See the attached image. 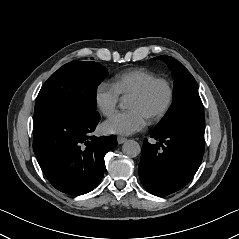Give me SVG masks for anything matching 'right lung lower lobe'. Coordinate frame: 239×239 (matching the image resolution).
<instances>
[{
  "mask_svg": "<svg viewBox=\"0 0 239 239\" xmlns=\"http://www.w3.org/2000/svg\"><path fill=\"white\" fill-rule=\"evenodd\" d=\"M100 116L61 112L44 119L33 130V150L49 182L59 191L82 195L101 180L105 154L117 146L116 137L96 138Z\"/></svg>",
  "mask_w": 239,
  "mask_h": 239,
  "instance_id": "right-lung-lower-lobe-1",
  "label": "right lung lower lobe"
}]
</instances>
